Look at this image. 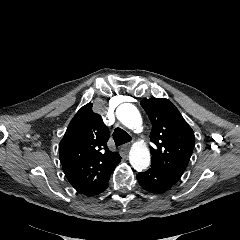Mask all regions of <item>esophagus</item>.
<instances>
[{"label":"esophagus","instance_id":"obj_1","mask_svg":"<svg viewBox=\"0 0 240 240\" xmlns=\"http://www.w3.org/2000/svg\"><path fill=\"white\" fill-rule=\"evenodd\" d=\"M131 145L129 143H126L122 146V150H124L125 152L129 151Z\"/></svg>","mask_w":240,"mask_h":240}]
</instances>
